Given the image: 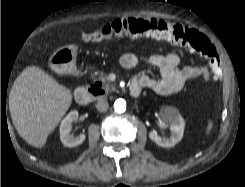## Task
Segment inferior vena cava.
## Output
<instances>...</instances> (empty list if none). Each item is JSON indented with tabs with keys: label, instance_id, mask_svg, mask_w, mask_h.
Listing matches in <instances>:
<instances>
[{
	"label": "inferior vena cava",
	"instance_id": "1",
	"mask_svg": "<svg viewBox=\"0 0 245 187\" xmlns=\"http://www.w3.org/2000/svg\"><path fill=\"white\" fill-rule=\"evenodd\" d=\"M96 108L100 112H106L109 108L107 99H104V98L100 99L96 104Z\"/></svg>",
	"mask_w": 245,
	"mask_h": 187
}]
</instances>
